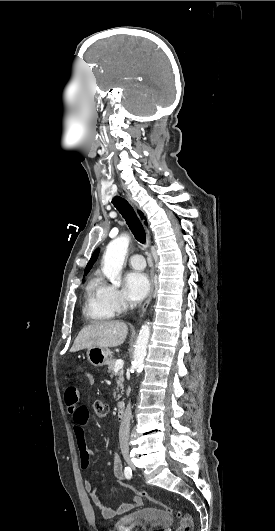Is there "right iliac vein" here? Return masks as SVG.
<instances>
[{
	"instance_id": "1",
	"label": "right iliac vein",
	"mask_w": 275,
	"mask_h": 531,
	"mask_svg": "<svg viewBox=\"0 0 275 531\" xmlns=\"http://www.w3.org/2000/svg\"><path fill=\"white\" fill-rule=\"evenodd\" d=\"M124 459H125L126 463H127L130 467L133 468V464H132L131 459H130V457H129V455H128L127 453H124Z\"/></svg>"
}]
</instances>
